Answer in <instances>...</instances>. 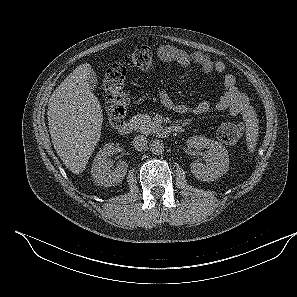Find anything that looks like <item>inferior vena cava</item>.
I'll return each mask as SVG.
<instances>
[{"label":"inferior vena cava","instance_id":"inferior-vena-cava-1","mask_svg":"<svg viewBox=\"0 0 297 297\" xmlns=\"http://www.w3.org/2000/svg\"><path fill=\"white\" fill-rule=\"evenodd\" d=\"M148 140L143 135H138L133 139L134 148L137 151H142L147 147Z\"/></svg>","mask_w":297,"mask_h":297}]
</instances>
